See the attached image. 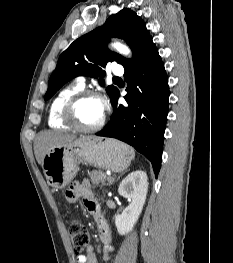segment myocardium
Here are the masks:
<instances>
[{"instance_id":"1","label":"myocardium","mask_w":233,"mask_h":263,"mask_svg":"<svg viewBox=\"0 0 233 263\" xmlns=\"http://www.w3.org/2000/svg\"><path fill=\"white\" fill-rule=\"evenodd\" d=\"M86 98H96L104 103L103 115L100 121L92 127L82 126L76 117V108L78 104ZM105 109H106V103L104 97L101 94L92 90H81L73 94L71 97H69V99L65 102L62 110V118L69 126L73 127L75 130L79 132L94 133L101 130L105 124L106 121Z\"/></svg>"}]
</instances>
